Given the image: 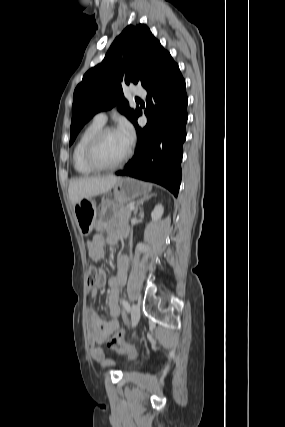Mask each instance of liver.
I'll list each match as a JSON object with an SVG mask.
<instances>
[{
  "label": "liver",
  "mask_w": 285,
  "mask_h": 427,
  "mask_svg": "<svg viewBox=\"0 0 285 427\" xmlns=\"http://www.w3.org/2000/svg\"><path fill=\"white\" fill-rule=\"evenodd\" d=\"M120 177L113 175L105 177H83L73 179L69 183L68 194L70 202L75 205L81 199H90L111 190Z\"/></svg>",
  "instance_id": "1"
}]
</instances>
